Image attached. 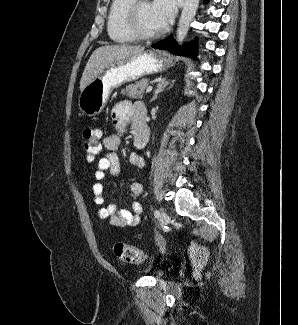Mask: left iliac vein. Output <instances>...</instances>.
<instances>
[{"label":"left iliac vein","instance_id":"4c4485c4","mask_svg":"<svg viewBox=\"0 0 298 325\" xmlns=\"http://www.w3.org/2000/svg\"><path fill=\"white\" fill-rule=\"evenodd\" d=\"M169 223V216L167 215L166 212H162L160 216V224L162 226H165Z\"/></svg>","mask_w":298,"mask_h":325}]
</instances>
